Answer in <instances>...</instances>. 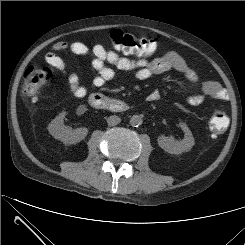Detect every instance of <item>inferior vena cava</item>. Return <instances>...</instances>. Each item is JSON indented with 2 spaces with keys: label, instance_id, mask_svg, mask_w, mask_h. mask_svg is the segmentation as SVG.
<instances>
[{
  "label": "inferior vena cava",
  "instance_id": "inferior-vena-cava-1",
  "mask_svg": "<svg viewBox=\"0 0 245 245\" xmlns=\"http://www.w3.org/2000/svg\"><path fill=\"white\" fill-rule=\"evenodd\" d=\"M121 122V119L117 115H111L107 118V123L109 126H115Z\"/></svg>",
  "mask_w": 245,
  "mask_h": 245
}]
</instances>
